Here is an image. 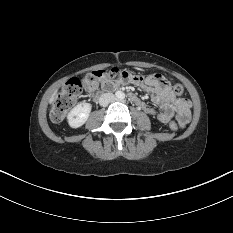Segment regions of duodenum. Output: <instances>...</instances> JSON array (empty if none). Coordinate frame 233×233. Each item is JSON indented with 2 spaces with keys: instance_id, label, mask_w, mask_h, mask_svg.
I'll use <instances>...</instances> for the list:
<instances>
[{
  "instance_id": "1",
  "label": "duodenum",
  "mask_w": 233,
  "mask_h": 233,
  "mask_svg": "<svg viewBox=\"0 0 233 233\" xmlns=\"http://www.w3.org/2000/svg\"><path fill=\"white\" fill-rule=\"evenodd\" d=\"M128 97H129V99H130L133 103H135L136 105H139V104H140V100H139L134 94L130 93V94L128 95Z\"/></svg>"
}]
</instances>
